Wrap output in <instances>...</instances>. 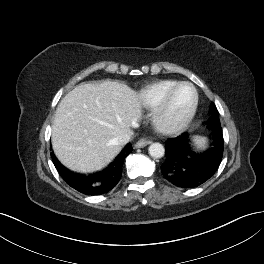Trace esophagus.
<instances>
[{"mask_svg":"<svg viewBox=\"0 0 264 264\" xmlns=\"http://www.w3.org/2000/svg\"><path fill=\"white\" fill-rule=\"evenodd\" d=\"M151 142H152V141L149 140V139L142 138V139L138 140V141L135 143L134 147H135V148H143V147L147 146L148 144H151Z\"/></svg>","mask_w":264,"mask_h":264,"instance_id":"1","label":"esophagus"}]
</instances>
